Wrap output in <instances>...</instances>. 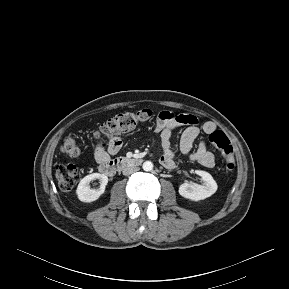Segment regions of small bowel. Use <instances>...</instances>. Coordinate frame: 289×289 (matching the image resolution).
I'll return each mask as SVG.
<instances>
[{"label": "small bowel", "instance_id": "c3829d8e", "mask_svg": "<svg viewBox=\"0 0 289 289\" xmlns=\"http://www.w3.org/2000/svg\"><path fill=\"white\" fill-rule=\"evenodd\" d=\"M185 126L180 140L179 150L189 156V159L203 167L212 168L215 165L214 155L208 151L206 143L199 141L195 151H192L193 144L201 132L211 134L216 131V125L212 121L199 124L198 119L190 114H175L170 111H161L155 123L154 132L159 134L163 154L160 163L166 169L176 167V154L171 146L173 131ZM122 147V140L119 136L111 138L106 146L97 145L94 150L95 160L98 164L109 160L111 155L117 154Z\"/></svg>", "mask_w": 289, "mask_h": 289}]
</instances>
